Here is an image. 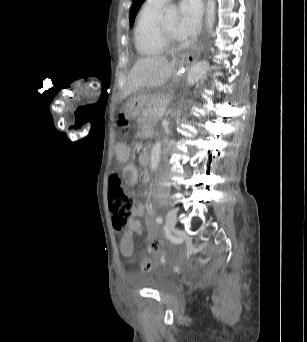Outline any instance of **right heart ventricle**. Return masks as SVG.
<instances>
[{
	"instance_id": "1",
	"label": "right heart ventricle",
	"mask_w": 307,
	"mask_h": 342,
	"mask_svg": "<svg viewBox=\"0 0 307 342\" xmlns=\"http://www.w3.org/2000/svg\"><path fill=\"white\" fill-rule=\"evenodd\" d=\"M158 12L143 8L138 12L133 30V43L137 55L143 59H150L163 52L155 41V23Z\"/></svg>"
}]
</instances>
